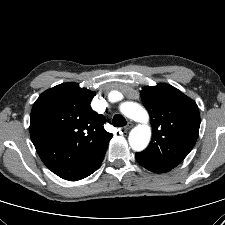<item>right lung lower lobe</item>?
<instances>
[{
	"label": "right lung lower lobe",
	"mask_w": 225,
	"mask_h": 225,
	"mask_svg": "<svg viewBox=\"0 0 225 225\" xmlns=\"http://www.w3.org/2000/svg\"><path fill=\"white\" fill-rule=\"evenodd\" d=\"M103 157H104V156H103ZM102 160H103V158H102ZM102 160H101V162H102ZM100 164H101V163H100ZM100 164H99V166H100ZM99 166H97L96 169H97ZM96 169H95V170H96ZM95 170H94V171H95Z\"/></svg>",
	"instance_id": "1"
}]
</instances>
